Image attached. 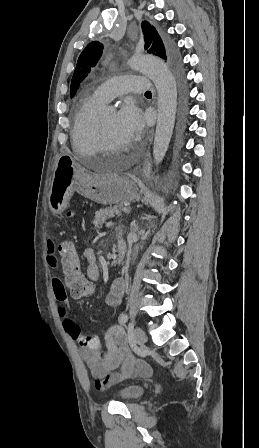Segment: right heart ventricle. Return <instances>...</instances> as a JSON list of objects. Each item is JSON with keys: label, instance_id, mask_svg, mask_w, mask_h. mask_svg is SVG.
<instances>
[{"label": "right heart ventricle", "instance_id": "e07e8e85", "mask_svg": "<svg viewBox=\"0 0 259 448\" xmlns=\"http://www.w3.org/2000/svg\"><path fill=\"white\" fill-rule=\"evenodd\" d=\"M85 101L74 117L71 130L72 145L76 151L100 150L98 141L97 118L98 109L105 103L96 94V90L88 92Z\"/></svg>", "mask_w": 259, "mask_h": 448}]
</instances>
